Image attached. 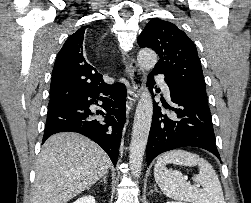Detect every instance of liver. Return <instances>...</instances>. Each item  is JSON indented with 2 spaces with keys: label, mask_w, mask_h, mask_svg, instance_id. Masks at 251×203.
I'll return each mask as SVG.
<instances>
[{
  "label": "liver",
  "mask_w": 251,
  "mask_h": 203,
  "mask_svg": "<svg viewBox=\"0 0 251 203\" xmlns=\"http://www.w3.org/2000/svg\"><path fill=\"white\" fill-rule=\"evenodd\" d=\"M110 164L105 151L80 134L49 137L36 165L33 203H67L107 174Z\"/></svg>",
  "instance_id": "obj_1"
}]
</instances>
